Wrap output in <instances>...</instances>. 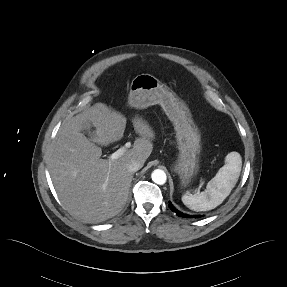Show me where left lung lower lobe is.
<instances>
[{"label":"left lung lower lobe","instance_id":"left-lung-lower-lobe-1","mask_svg":"<svg viewBox=\"0 0 287 287\" xmlns=\"http://www.w3.org/2000/svg\"><path fill=\"white\" fill-rule=\"evenodd\" d=\"M169 208L175 212L179 217H185V218H199L200 215H194V216H190L188 214L182 213L180 211H178L171 203H169Z\"/></svg>","mask_w":287,"mask_h":287}]
</instances>
